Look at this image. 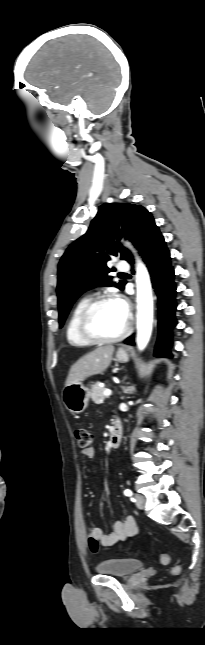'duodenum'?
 <instances>
[{
    "instance_id": "obj_1",
    "label": "duodenum",
    "mask_w": 205,
    "mask_h": 645,
    "mask_svg": "<svg viewBox=\"0 0 205 645\" xmlns=\"http://www.w3.org/2000/svg\"><path fill=\"white\" fill-rule=\"evenodd\" d=\"M122 426L119 421H117L111 428L109 435V445L111 448H116L120 445L122 440Z\"/></svg>"
}]
</instances>
